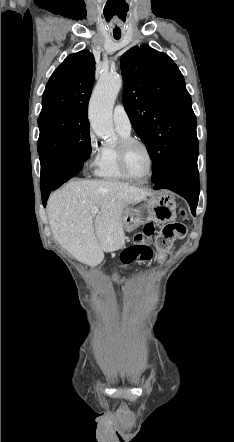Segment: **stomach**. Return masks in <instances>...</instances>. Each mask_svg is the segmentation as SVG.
<instances>
[{
	"label": "stomach",
	"instance_id": "obj_1",
	"mask_svg": "<svg viewBox=\"0 0 234 442\" xmlns=\"http://www.w3.org/2000/svg\"><path fill=\"white\" fill-rule=\"evenodd\" d=\"M176 218L175 201L168 193L143 198L128 206L122 213L123 230L131 232L148 222L168 223Z\"/></svg>",
	"mask_w": 234,
	"mask_h": 442
}]
</instances>
